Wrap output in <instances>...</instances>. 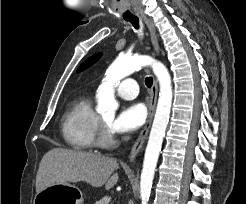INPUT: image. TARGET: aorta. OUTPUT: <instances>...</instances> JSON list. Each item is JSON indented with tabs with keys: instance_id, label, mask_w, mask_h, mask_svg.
<instances>
[{
	"instance_id": "aorta-1",
	"label": "aorta",
	"mask_w": 246,
	"mask_h": 204,
	"mask_svg": "<svg viewBox=\"0 0 246 204\" xmlns=\"http://www.w3.org/2000/svg\"><path fill=\"white\" fill-rule=\"evenodd\" d=\"M143 66L152 67L160 88L156 113L146 146L140 177L141 204H147L171 112L173 92L171 77L167 68L161 62L146 55L118 56L107 69L106 77L97 91L96 111L103 117H114L119 106L115 99V86L121 79Z\"/></svg>"
}]
</instances>
